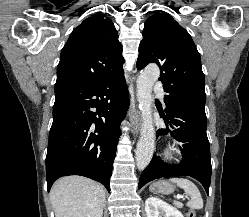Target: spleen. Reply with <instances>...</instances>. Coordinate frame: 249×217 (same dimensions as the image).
I'll list each match as a JSON object with an SVG mask.
<instances>
[{"label": "spleen", "instance_id": "3e777b00", "mask_svg": "<svg viewBox=\"0 0 249 217\" xmlns=\"http://www.w3.org/2000/svg\"><path fill=\"white\" fill-rule=\"evenodd\" d=\"M170 181L176 183L190 196L191 199L187 203L188 207L197 210L203 208V199L201 197V194L197 186L192 181L186 178H171Z\"/></svg>", "mask_w": 249, "mask_h": 217}]
</instances>
